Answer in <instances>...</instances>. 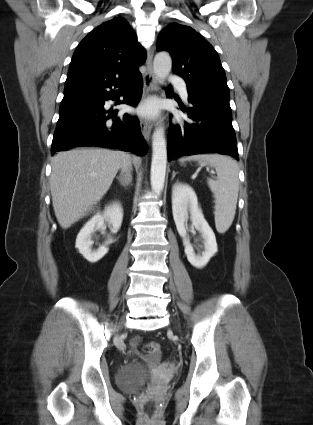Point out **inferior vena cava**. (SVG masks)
<instances>
[{
    "label": "inferior vena cava",
    "mask_w": 313,
    "mask_h": 425,
    "mask_svg": "<svg viewBox=\"0 0 313 425\" xmlns=\"http://www.w3.org/2000/svg\"><path fill=\"white\" fill-rule=\"evenodd\" d=\"M131 166H132L131 159L124 161L121 165L122 172H125L126 173L125 176L127 177L131 176L130 175Z\"/></svg>",
    "instance_id": "1"
}]
</instances>
